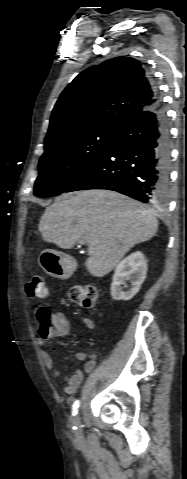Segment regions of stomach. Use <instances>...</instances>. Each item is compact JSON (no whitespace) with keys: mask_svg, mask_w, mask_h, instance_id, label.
<instances>
[{"mask_svg":"<svg viewBox=\"0 0 187 479\" xmlns=\"http://www.w3.org/2000/svg\"><path fill=\"white\" fill-rule=\"evenodd\" d=\"M39 264L47 274L55 278L66 279L73 273L70 257L55 250H43L39 255Z\"/></svg>","mask_w":187,"mask_h":479,"instance_id":"obj_1","label":"stomach"}]
</instances>
